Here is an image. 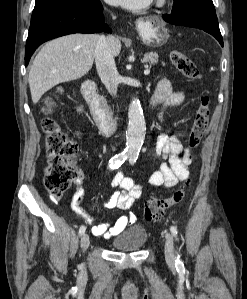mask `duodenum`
<instances>
[{
  "mask_svg": "<svg viewBox=\"0 0 247 299\" xmlns=\"http://www.w3.org/2000/svg\"><path fill=\"white\" fill-rule=\"evenodd\" d=\"M81 92L90 106L94 120L100 130L105 134L112 133L117 127L118 120L106 101L97 94L95 83L91 80L84 82Z\"/></svg>",
  "mask_w": 247,
  "mask_h": 299,
  "instance_id": "1",
  "label": "duodenum"
}]
</instances>
